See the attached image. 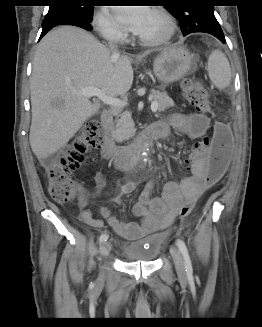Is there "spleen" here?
Instances as JSON below:
<instances>
[{"label":"spleen","mask_w":262,"mask_h":327,"mask_svg":"<svg viewBox=\"0 0 262 327\" xmlns=\"http://www.w3.org/2000/svg\"><path fill=\"white\" fill-rule=\"evenodd\" d=\"M207 71L210 80L216 88L222 90L231 82V69L226 56L219 50H214L207 62Z\"/></svg>","instance_id":"spleen-1"}]
</instances>
